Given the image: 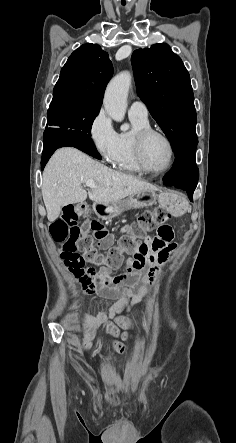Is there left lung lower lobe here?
Listing matches in <instances>:
<instances>
[{"label": "left lung lower lobe", "instance_id": "0a47b994", "mask_svg": "<svg viewBox=\"0 0 236 443\" xmlns=\"http://www.w3.org/2000/svg\"><path fill=\"white\" fill-rule=\"evenodd\" d=\"M196 146L197 143L191 144L178 152L172 169L163 178L164 185L186 190L190 201H193L199 177L195 160Z\"/></svg>", "mask_w": 236, "mask_h": 443}]
</instances>
